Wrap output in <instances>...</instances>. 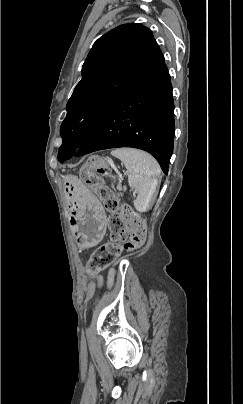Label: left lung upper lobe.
I'll list each match as a JSON object with an SVG mask.
<instances>
[{
  "label": "left lung upper lobe",
  "instance_id": "obj_1",
  "mask_svg": "<svg viewBox=\"0 0 243 404\" xmlns=\"http://www.w3.org/2000/svg\"><path fill=\"white\" fill-rule=\"evenodd\" d=\"M165 64L152 32L137 23L120 25L100 37L83 66L82 79L67 103L58 160L70 159L99 119Z\"/></svg>",
  "mask_w": 243,
  "mask_h": 404
}]
</instances>
